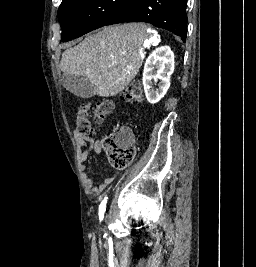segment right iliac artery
<instances>
[{
	"label": "right iliac artery",
	"instance_id": "82829eb1",
	"mask_svg": "<svg viewBox=\"0 0 256 267\" xmlns=\"http://www.w3.org/2000/svg\"><path fill=\"white\" fill-rule=\"evenodd\" d=\"M106 203H107V197L104 198V200L101 202V204L99 206V219H100V221L104 217V213H105V210H106Z\"/></svg>",
	"mask_w": 256,
	"mask_h": 267
}]
</instances>
